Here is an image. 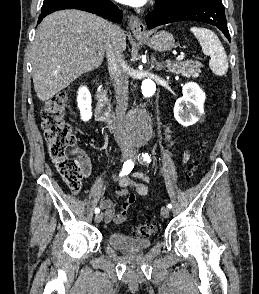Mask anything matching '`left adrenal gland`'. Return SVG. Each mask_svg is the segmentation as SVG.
Returning <instances> with one entry per match:
<instances>
[{
    "instance_id": "1",
    "label": "left adrenal gland",
    "mask_w": 259,
    "mask_h": 294,
    "mask_svg": "<svg viewBox=\"0 0 259 294\" xmlns=\"http://www.w3.org/2000/svg\"><path fill=\"white\" fill-rule=\"evenodd\" d=\"M154 63H155V58L153 57L152 58V67L154 68ZM165 66L163 65V63H159V62H156V71H161L162 69H164Z\"/></svg>"
}]
</instances>
